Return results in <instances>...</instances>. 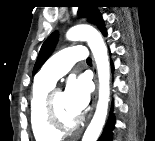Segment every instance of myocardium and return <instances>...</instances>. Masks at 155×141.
<instances>
[{
	"label": "myocardium",
	"instance_id": "myocardium-1",
	"mask_svg": "<svg viewBox=\"0 0 155 141\" xmlns=\"http://www.w3.org/2000/svg\"><path fill=\"white\" fill-rule=\"evenodd\" d=\"M57 92H59V90L51 89L45 97L44 113L46 122L49 127L57 133L73 132L80 126L82 119L77 117L71 124H65L61 121L54 105V96Z\"/></svg>",
	"mask_w": 155,
	"mask_h": 141
}]
</instances>
